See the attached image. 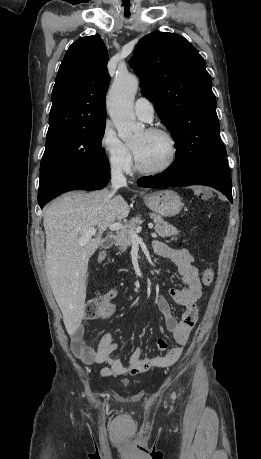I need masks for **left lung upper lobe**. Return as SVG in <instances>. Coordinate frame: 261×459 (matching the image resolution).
Here are the masks:
<instances>
[{"label": "left lung upper lobe", "mask_w": 261, "mask_h": 459, "mask_svg": "<svg viewBox=\"0 0 261 459\" xmlns=\"http://www.w3.org/2000/svg\"><path fill=\"white\" fill-rule=\"evenodd\" d=\"M130 63L140 77L143 96L154 103L176 143L170 167L185 173L227 156L211 77L190 42L174 33L153 32L140 40Z\"/></svg>", "instance_id": "1"}]
</instances>
